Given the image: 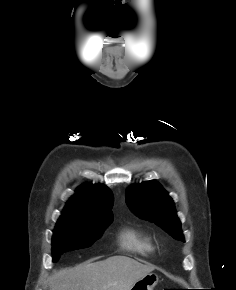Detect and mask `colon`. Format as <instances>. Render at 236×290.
Masks as SVG:
<instances>
[{
    "label": "colon",
    "instance_id": "obj_1",
    "mask_svg": "<svg viewBox=\"0 0 236 290\" xmlns=\"http://www.w3.org/2000/svg\"><path fill=\"white\" fill-rule=\"evenodd\" d=\"M163 290H176V289H163Z\"/></svg>",
    "mask_w": 236,
    "mask_h": 290
}]
</instances>
